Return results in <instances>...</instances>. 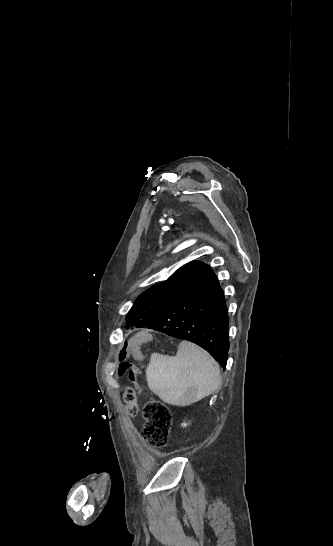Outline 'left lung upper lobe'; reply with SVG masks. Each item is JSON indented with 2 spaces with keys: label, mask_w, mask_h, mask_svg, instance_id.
Returning a JSON list of instances; mask_svg holds the SVG:
<instances>
[{
  "label": "left lung upper lobe",
  "mask_w": 333,
  "mask_h": 546,
  "mask_svg": "<svg viewBox=\"0 0 333 546\" xmlns=\"http://www.w3.org/2000/svg\"><path fill=\"white\" fill-rule=\"evenodd\" d=\"M204 266L202 262H190L175 271L166 281L144 291L135 300L126 319L133 317L139 327L147 326L163 308L188 289Z\"/></svg>",
  "instance_id": "1"
}]
</instances>
